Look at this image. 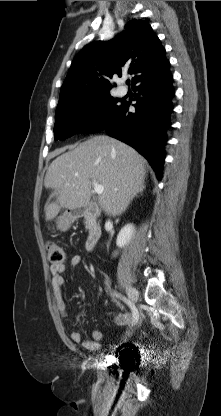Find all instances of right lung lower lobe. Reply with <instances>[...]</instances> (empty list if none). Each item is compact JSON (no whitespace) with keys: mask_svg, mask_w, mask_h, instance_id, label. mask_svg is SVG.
<instances>
[{"mask_svg":"<svg viewBox=\"0 0 221 416\" xmlns=\"http://www.w3.org/2000/svg\"><path fill=\"white\" fill-rule=\"evenodd\" d=\"M171 82L169 69L144 77L133 86L138 91L135 112L129 111L130 103L121 101L110 121L99 130L134 147L149 161L158 180L162 179L166 130L171 125V99L175 93Z\"/></svg>","mask_w":221,"mask_h":416,"instance_id":"1","label":"right lung lower lobe"}]
</instances>
